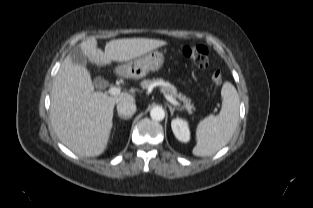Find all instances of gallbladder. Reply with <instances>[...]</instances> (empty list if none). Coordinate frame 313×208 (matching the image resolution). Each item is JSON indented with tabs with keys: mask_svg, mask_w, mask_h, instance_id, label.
I'll use <instances>...</instances> for the list:
<instances>
[{
	"mask_svg": "<svg viewBox=\"0 0 313 208\" xmlns=\"http://www.w3.org/2000/svg\"><path fill=\"white\" fill-rule=\"evenodd\" d=\"M69 56L71 57V60L75 65H79L81 67L86 66L87 59H86V56L84 54V51L82 50V48L79 45L74 46L70 50ZM106 84H107V82L101 77H96L94 79V85L96 88L102 89L106 86Z\"/></svg>",
	"mask_w": 313,
	"mask_h": 208,
	"instance_id": "1",
	"label": "gallbladder"
}]
</instances>
